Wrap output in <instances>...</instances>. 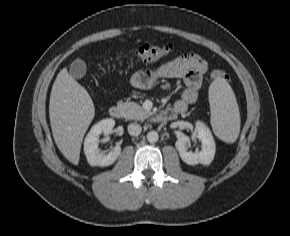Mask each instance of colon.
<instances>
[{"instance_id": "5ec220e1", "label": "colon", "mask_w": 290, "mask_h": 236, "mask_svg": "<svg viewBox=\"0 0 290 236\" xmlns=\"http://www.w3.org/2000/svg\"><path fill=\"white\" fill-rule=\"evenodd\" d=\"M173 46L170 44L157 45L145 44L135 49L131 56L141 61H153L166 57L172 52ZM213 80L227 79V74L222 70H213L211 72Z\"/></svg>"}]
</instances>
